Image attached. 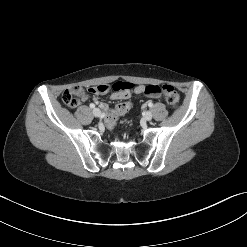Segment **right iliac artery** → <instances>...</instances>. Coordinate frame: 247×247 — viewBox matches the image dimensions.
Listing matches in <instances>:
<instances>
[{
    "instance_id": "82829eb1",
    "label": "right iliac artery",
    "mask_w": 247,
    "mask_h": 247,
    "mask_svg": "<svg viewBox=\"0 0 247 247\" xmlns=\"http://www.w3.org/2000/svg\"><path fill=\"white\" fill-rule=\"evenodd\" d=\"M90 108H95V105L93 103H91Z\"/></svg>"
}]
</instances>
